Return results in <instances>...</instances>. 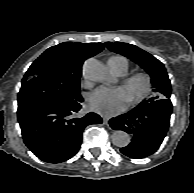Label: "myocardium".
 <instances>
[{
    "mask_svg": "<svg viewBox=\"0 0 194 193\" xmlns=\"http://www.w3.org/2000/svg\"><path fill=\"white\" fill-rule=\"evenodd\" d=\"M135 82L141 83L140 91L128 100L130 106L137 105L144 100L152 90V78L145 72H136L123 79V87L126 88Z\"/></svg>",
    "mask_w": 194,
    "mask_h": 193,
    "instance_id": "1",
    "label": "myocardium"
}]
</instances>
